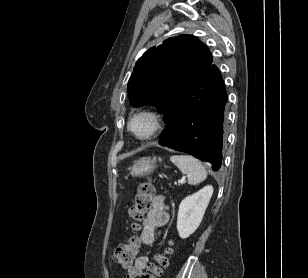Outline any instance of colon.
Instances as JSON below:
<instances>
[{"mask_svg":"<svg viewBox=\"0 0 308 278\" xmlns=\"http://www.w3.org/2000/svg\"><path fill=\"white\" fill-rule=\"evenodd\" d=\"M154 194L155 190L150 181H144L139 185L134 205L129 209V216L134 221L132 224L134 229L138 227L136 222L141 220L152 207ZM138 248L139 240L132 236L114 251L113 259L121 268H130L136 259ZM171 253L172 247L169 243L161 253L156 255L155 262L148 266L141 278H160L164 268L168 265Z\"/></svg>","mask_w":308,"mask_h":278,"instance_id":"5ec220e1","label":"colon"}]
</instances>
